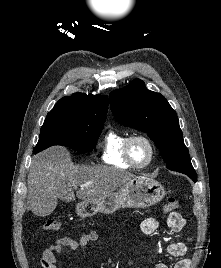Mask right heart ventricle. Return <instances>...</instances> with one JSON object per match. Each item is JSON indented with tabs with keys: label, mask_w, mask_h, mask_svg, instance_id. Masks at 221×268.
<instances>
[{
	"label": "right heart ventricle",
	"mask_w": 221,
	"mask_h": 268,
	"mask_svg": "<svg viewBox=\"0 0 221 268\" xmlns=\"http://www.w3.org/2000/svg\"><path fill=\"white\" fill-rule=\"evenodd\" d=\"M128 137V134L110 130L104 137L102 160L107 164L119 168H131L132 166L127 162L123 153V145Z\"/></svg>",
	"instance_id": "e07e8e85"
}]
</instances>
